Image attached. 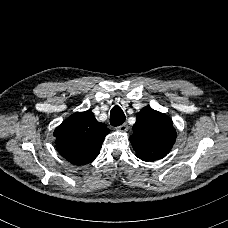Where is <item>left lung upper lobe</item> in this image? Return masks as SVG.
Here are the masks:
<instances>
[{
    "label": "left lung upper lobe",
    "instance_id": "5c2ea615",
    "mask_svg": "<svg viewBox=\"0 0 228 228\" xmlns=\"http://www.w3.org/2000/svg\"><path fill=\"white\" fill-rule=\"evenodd\" d=\"M176 139L173 121L163 113L144 107L133 125L130 142L136 156L144 161H155L170 152Z\"/></svg>",
    "mask_w": 228,
    "mask_h": 228
}]
</instances>
